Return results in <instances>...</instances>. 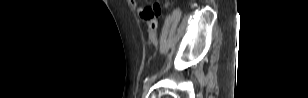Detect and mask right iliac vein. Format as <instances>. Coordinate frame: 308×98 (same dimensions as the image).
Returning <instances> with one entry per match:
<instances>
[{"label": "right iliac vein", "instance_id": "right-iliac-vein-1", "mask_svg": "<svg viewBox=\"0 0 308 98\" xmlns=\"http://www.w3.org/2000/svg\"><path fill=\"white\" fill-rule=\"evenodd\" d=\"M154 81V79L152 81H150L145 87H144V94L148 91V89L150 88L152 82Z\"/></svg>", "mask_w": 308, "mask_h": 98}]
</instances>
